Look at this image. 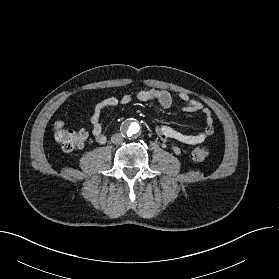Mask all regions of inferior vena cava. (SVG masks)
<instances>
[{
	"label": "inferior vena cava",
	"mask_w": 279,
	"mask_h": 279,
	"mask_svg": "<svg viewBox=\"0 0 279 279\" xmlns=\"http://www.w3.org/2000/svg\"><path fill=\"white\" fill-rule=\"evenodd\" d=\"M123 141H124V138H123V136L120 133L114 134L111 137V142L113 144H121V143H123Z\"/></svg>",
	"instance_id": "obj_1"
}]
</instances>
